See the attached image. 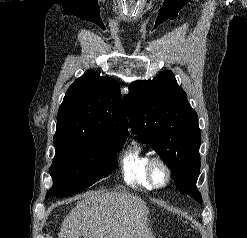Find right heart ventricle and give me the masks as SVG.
I'll return each instance as SVG.
<instances>
[{
  "label": "right heart ventricle",
  "instance_id": "obj_1",
  "mask_svg": "<svg viewBox=\"0 0 247 238\" xmlns=\"http://www.w3.org/2000/svg\"><path fill=\"white\" fill-rule=\"evenodd\" d=\"M149 154L139 146L129 147L121 160V171L124 181L133 187L152 189L146 175Z\"/></svg>",
  "mask_w": 247,
  "mask_h": 238
}]
</instances>
